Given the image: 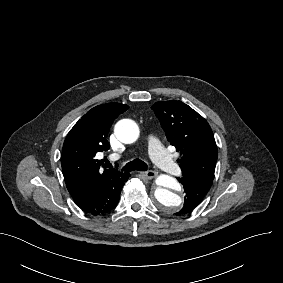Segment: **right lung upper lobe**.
Masks as SVG:
<instances>
[{
    "instance_id": "1",
    "label": "right lung upper lobe",
    "mask_w": 283,
    "mask_h": 283,
    "mask_svg": "<svg viewBox=\"0 0 283 283\" xmlns=\"http://www.w3.org/2000/svg\"><path fill=\"white\" fill-rule=\"evenodd\" d=\"M128 106L108 103L89 110L70 130L64 144L61 165L68 191L86 183L98 184L122 172L116 169L101 170L96 154L109 148L106 140L113 121Z\"/></svg>"
}]
</instances>
